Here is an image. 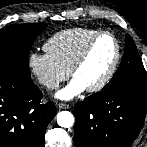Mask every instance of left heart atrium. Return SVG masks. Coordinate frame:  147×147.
Wrapping results in <instances>:
<instances>
[{"label":"left heart atrium","instance_id":"39dd6f15","mask_svg":"<svg viewBox=\"0 0 147 147\" xmlns=\"http://www.w3.org/2000/svg\"><path fill=\"white\" fill-rule=\"evenodd\" d=\"M85 90V85L82 84L78 79L73 78L68 85H66L56 93V97L58 99L68 101L72 100Z\"/></svg>","mask_w":147,"mask_h":147}]
</instances>
